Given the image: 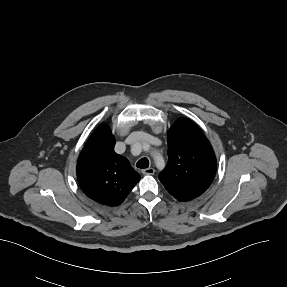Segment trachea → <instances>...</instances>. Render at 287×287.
Instances as JSON below:
<instances>
[{
    "mask_svg": "<svg viewBox=\"0 0 287 287\" xmlns=\"http://www.w3.org/2000/svg\"><path fill=\"white\" fill-rule=\"evenodd\" d=\"M136 166L138 168H141V169L148 168L149 167V160L147 158H142L137 162Z\"/></svg>",
    "mask_w": 287,
    "mask_h": 287,
    "instance_id": "obj_1",
    "label": "trachea"
}]
</instances>
